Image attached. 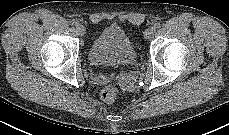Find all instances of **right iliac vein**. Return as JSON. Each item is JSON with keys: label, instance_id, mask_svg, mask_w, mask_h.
Here are the masks:
<instances>
[{"label": "right iliac vein", "instance_id": "obj_1", "mask_svg": "<svg viewBox=\"0 0 229 135\" xmlns=\"http://www.w3.org/2000/svg\"><path fill=\"white\" fill-rule=\"evenodd\" d=\"M77 32H78V34L81 35V36L85 35V33H86V28L84 27V25L79 24V25L77 26Z\"/></svg>", "mask_w": 229, "mask_h": 135}]
</instances>
